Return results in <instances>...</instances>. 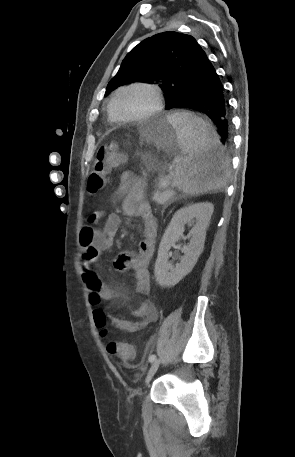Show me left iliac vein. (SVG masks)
<instances>
[{
    "label": "left iliac vein",
    "instance_id": "obj_1",
    "mask_svg": "<svg viewBox=\"0 0 295 457\" xmlns=\"http://www.w3.org/2000/svg\"><path fill=\"white\" fill-rule=\"evenodd\" d=\"M160 362L161 360L160 359H156L153 361V363L151 364L149 370H148V373H147V376H146V379H145V382L146 384L148 385L149 382L151 381V379L153 378L154 374L156 373L159 365H160Z\"/></svg>",
    "mask_w": 295,
    "mask_h": 457
}]
</instances>
